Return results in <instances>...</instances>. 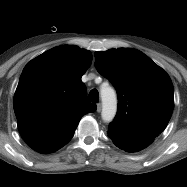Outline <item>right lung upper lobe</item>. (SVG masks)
Segmentation results:
<instances>
[{
    "label": "right lung upper lobe",
    "instance_id": "1",
    "mask_svg": "<svg viewBox=\"0 0 187 187\" xmlns=\"http://www.w3.org/2000/svg\"><path fill=\"white\" fill-rule=\"evenodd\" d=\"M92 55L77 46L52 48L23 69L14 95V111L24 141L40 153L64 146L74 135L80 119L94 112L86 102L82 75Z\"/></svg>",
    "mask_w": 187,
    "mask_h": 187
}]
</instances>
